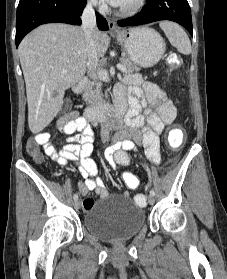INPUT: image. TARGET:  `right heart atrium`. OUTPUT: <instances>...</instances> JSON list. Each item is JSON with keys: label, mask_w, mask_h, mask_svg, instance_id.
I'll return each mask as SVG.
<instances>
[{"label": "right heart atrium", "mask_w": 227, "mask_h": 279, "mask_svg": "<svg viewBox=\"0 0 227 279\" xmlns=\"http://www.w3.org/2000/svg\"><path fill=\"white\" fill-rule=\"evenodd\" d=\"M87 1L90 5L97 6V5H100L102 0H87Z\"/></svg>", "instance_id": "1"}]
</instances>
